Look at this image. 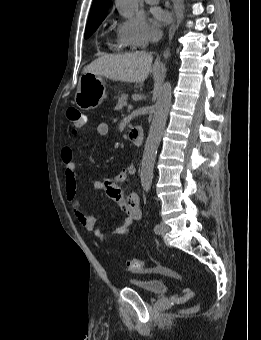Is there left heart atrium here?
Here are the masks:
<instances>
[{"label":"left heart atrium","instance_id":"left-heart-atrium-1","mask_svg":"<svg viewBox=\"0 0 261 340\" xmlns=\"http://www.w3.org/2000/svg\"><path fill=\"white\" fill-rule=\"evenodd\" d=\"M154 22L158 25L163 24L167 21V15L161 10L153 11Z\"/></svg>","mask_w":261,"mask_h":340}]
</instances>
